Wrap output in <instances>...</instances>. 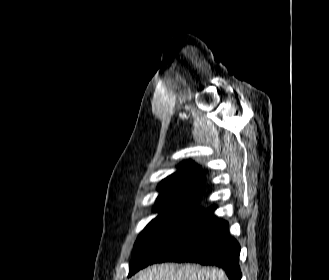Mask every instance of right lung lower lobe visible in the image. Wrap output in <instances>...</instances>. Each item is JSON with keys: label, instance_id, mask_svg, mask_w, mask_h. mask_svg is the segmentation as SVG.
I'll return each instance as SVG.
<instances>
[{"label": "right lung lower lobe", "instance_id": "right-lung-lower-lobe-1", "mask_svg": "<svg viewBox=\"0 0 329 280\" xmlns=\"http://www.w3.org/2000/svg\"><path fill=\"white\" fill-rule=\"evenodd\" d=\"M215 209L214 205L201 212L149 264L173 261L216 265L230 280H240V246L229 235L228 222L214 215Z\"/></svg>", "mask_w": 329, "mask_h": 280}]
</instances>
